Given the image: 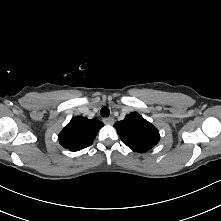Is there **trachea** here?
<instances>
[{
	"mask_svg": "<svg viewBox=\"0 0 221 221\" xmlns=\"http://www.w3.org/2000/svg\"><path fill=\"white\" fill-rule=\"evenodd\" d=\"M100 114L102 117H108L110 115V110L108 107L104 106L101 108Z\"/></svg>",
	"mask_w": 221,
	"mask_h": 221,
	"instance_id": "obj_1",
	"label": "trachea"
}]
</instances>
